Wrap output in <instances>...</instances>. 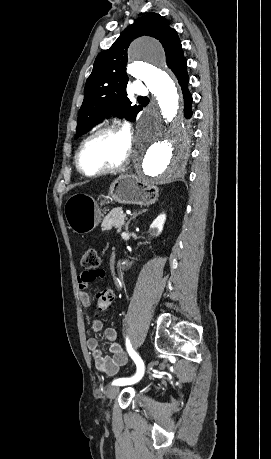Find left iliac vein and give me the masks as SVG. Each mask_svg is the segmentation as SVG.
<instances>
[{"label":"left iliac vein","instance_id":"obj_1","mask_svg":"<svg viewBox=\"0 0 271 459\" xmlns=\"http://www.w3.org/2000/svg\"><path fill=\"white\" fill-rule=\"evenodd\" d=\"M118 392H119L118 385L109 386V388H108V390L106 392V395H107L109 403H111L112 400L117 396Z\"/></svg>","mask_w":271,"mask_h":459}]
</instances>
